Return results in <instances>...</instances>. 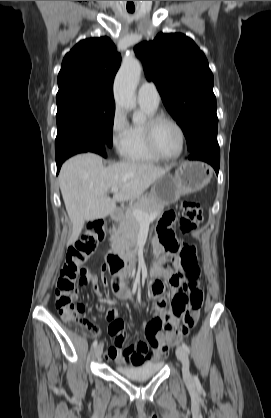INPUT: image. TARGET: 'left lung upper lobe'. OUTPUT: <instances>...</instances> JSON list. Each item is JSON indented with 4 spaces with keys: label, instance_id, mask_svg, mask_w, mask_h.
<instances>
[{
    "label": "left lung upper lobe",
    "instance_id": "left-lung-upper-lobe-1",
    "mask_svg": "<svg viewBox=\"0 0 271 418\" xmlns=\"http://www.w3.org/2000/svg\"><path fill=\"white\" fill-rule=\"evenodd\" d=\"M147 79L182 128L189 152L217 142L216 97L213 74L204 53L181 34L159 33L153 41L135 47Z\"/></svg>",
    "mask_w": 271,
    "mask_h": 418
}]
</instances>
